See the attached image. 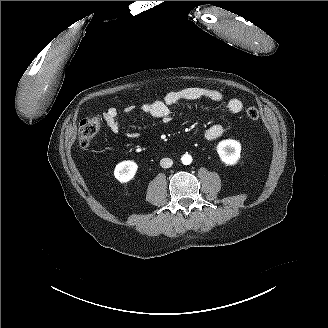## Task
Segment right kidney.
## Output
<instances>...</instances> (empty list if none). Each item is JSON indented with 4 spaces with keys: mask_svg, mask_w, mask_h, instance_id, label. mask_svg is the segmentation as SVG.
<instances>
[{
    "mask_svg": "<svg viewBox=\"0 0 328 328\" xmlns=\"http://www.w3.org/2000/svg\"><path fill=\"white\" fill-rule=\"evenodd\" d=\"M137 170L138 165L134 161H122L116 165L114 176L121 184H127L134 179Z\"/></svg>",
    "mask_w": 328,
    "mask_h": 328,
    "instance_id": "ca27d5eb",
    "label": "right kidney"
}]
</instances>
